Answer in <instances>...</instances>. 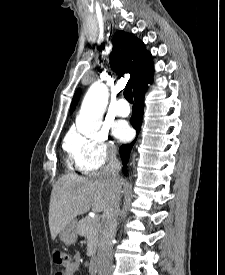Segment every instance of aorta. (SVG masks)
Segmentation results:
<instances>
[{
  "label": "aorta",
  "instance_id": "1",
  "mask_svg": "<svg viewBox=\"0 0 225 275\" xmlns=\"http://www.w3.org/2000/svg\"><path fill=\"white\" fill-rule=\"evenodd\" d=\"M108 89L101 82H95L87 91L76 118L77 130L86 137L93 136L102 124V116L108 103Z\"/></svg>",
  "mask_w": 225,
  "mask_h": 275
}]
</instances>
